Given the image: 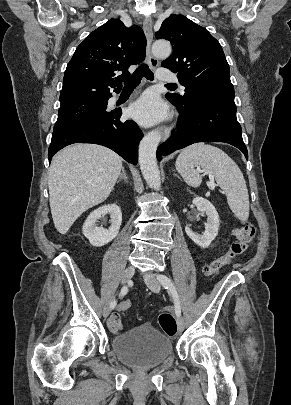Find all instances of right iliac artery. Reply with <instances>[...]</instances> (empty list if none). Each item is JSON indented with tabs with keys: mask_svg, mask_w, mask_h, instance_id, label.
Masks as SVG:
<instances>
[{
	"mask_svg": "<svg viewBox=\"0 0 291 405\" xmlns=\"http://www.w3.org/2000/svg\"><path fill=\"white\" fill-rule=\"evenodd\" d=\"M127 292H128V287L125 285V286L122 287V289H121V291H120V294H119V297L122 298L123 296H125V295L127 294ZM116 304H117V301H116V300H113V301L110 303L111 308H112V309L115 308Z\"/></svg>",
	"mask_w": 291,
	"mask_h": 405,
	"instance_id": "1",
	"label": "right iliac artery"
}]
</instances>
